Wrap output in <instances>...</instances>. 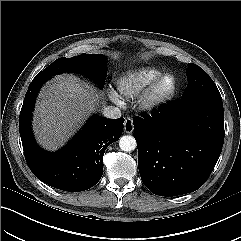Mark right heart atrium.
Instances as JSON below:
<instances>
[{
	"label": "right heart atrium",
	"instance_id": "obj_1",
	"mask_svg": "<svg viewBox=\"0 0 241 241\" xmlns=\"http://www.w3.org/2000/svg\"><path fill=\"white\" fill-rule=\"evenodd\" d=\"M110 97L112 98L113 101L119 102L118 96L115 93L111 92Z\"/></svg>",
	"mask_w": 241,
	"mask_h": 241
}]
</instances>
